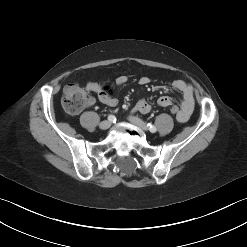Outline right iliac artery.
Returning a JSON list of instances; mask_svg holds the SVG:
<instances>
[{"mask_svg": "<svg viewBox=\"0 0 247 247\" xmlns=\"http://www.w3.org/2000/svg\"><path fill=\"white\" fill-rule=\"evenodd\" d=\"M108 120L111 122H115L116 121V117L114 115H109L108 116Z\"/></svg>", "mask_w": 247, "mask_h": 247, "instance_id": "82829eb1", "label": "right iliac artery"}]
</instances>
